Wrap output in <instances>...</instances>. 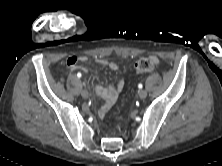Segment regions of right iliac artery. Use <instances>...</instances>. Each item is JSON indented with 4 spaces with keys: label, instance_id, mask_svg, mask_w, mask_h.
I'll list each match as a JSON object with an SVG mask.
<instances>
[{
    "label": "right iliac artery",
    "instance_id": "1",
    "mask_svg": "<svg viewBox=\"0 0 222 166\" xmlns=\"http://www.w3.org/2000/svg\"><path fill=\"white\" fill-rule=\"evenodd\" d=\"M77 77L80 78V77H81V73H78V74H77Z\"/></svg>",
    "mask_w": 222,
    "mask_h": 166
}]
</instances>
